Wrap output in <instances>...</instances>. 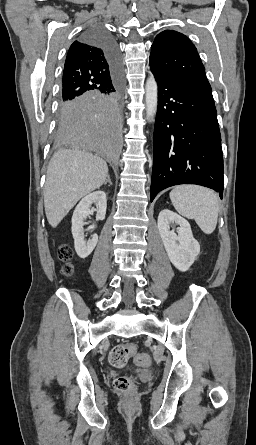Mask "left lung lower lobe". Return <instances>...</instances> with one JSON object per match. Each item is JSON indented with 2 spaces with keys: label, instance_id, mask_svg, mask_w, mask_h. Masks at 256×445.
Wrapping results in <instances>:
<instances>
[{
  "label": "left lung lower lobe",
  "instance_id": "1",
  "mask_svg": "<svg viewBox=\"0 0 256 445\" xmlns=\"http://www.w3.org/2000/svg\"><path fill=\"white\" fill-rule=\"evenodd\" d=\"M158 84L151 202L178 184L214 189L222 198L223 155L212 92L151 70Z\"/></svg>",
  "mask_w": 256,
  "mask_h": 445
}]
</instances>
